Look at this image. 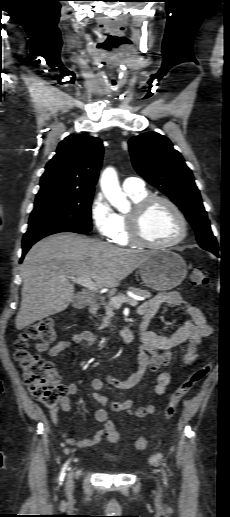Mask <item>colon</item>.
Masks as SVG:
<instances>
[{
    "instance_id": "colon-1",
    "label": "colon",
    "mask_w": 230,
    "mask_h": 517,
    "mask_svg": "<svg viewBox=\"0 0 230 517\" xmlns=\"http://www.w3.org/2000/svg\"><path fill=\"white\" fill-rule=\"evenodd\" d=\"M209 281L208 272L203 267H196L191 275V283L195 287L207 285ZM55 337L54 324L51 319L43 318L30 325L19 335L15 343L14 358L18 363L25 385L32 396L45 407H56L66 395L67 389L61 383L60 375L54 365L38 354L29 350V343L33 340L50 342ZM212 365L207 363L194 370L189 377L183 381L171 394L165 407V419L173 417L180 400L184 398L191 389L202 381L210 372ZM107 437L111 442H118L119 435L112 425L108 426ZM135 447L143 450L147 446L145 437H137Z\"/></svg>"
}]
</instances>
